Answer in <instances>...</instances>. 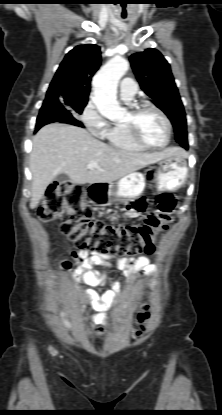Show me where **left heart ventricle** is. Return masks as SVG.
<instances>
[{
    "label": "left heart ventricle",
    "mask_w": 222,
    "mask_h": 415,
    "mask_svg": "<svg viewBox=\"0 0 222 415\" xmlns=\"http://www.w3.org/2000/svg\"><path fill=\"white\" fill-rule=\"evenodd\" d=\"M129 119L130 113H127L124 121ZM137 126L140 135L149 144L160 145L166 140V124L154 110L147 109L143 111L137 119Z\"/></svg>",
    "instance_id": "b2bd125f"
}]
</instances>
